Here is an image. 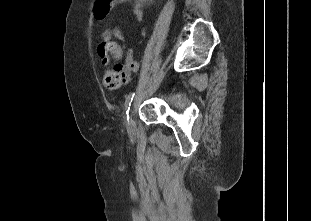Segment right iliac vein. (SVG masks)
Returning a JSON list of instances; mask_svg holds the SVG:
<instances>
[{"label":"right iliac vein","instance_id":"63e3f726","mask_svg":"<svg viewBox=\"0 0 311 221\" xmlns=\"http://www.w3.org/2000/svg\"><path fill=\"white\" fill-rule=\"evenodd\" d=\"M134 126H135V120H134V112L132 110L130 113V121L128 124V132H130V133L133 132Z\"/></svg>","mask_w":311,"mask_h":221}]
</instances>
